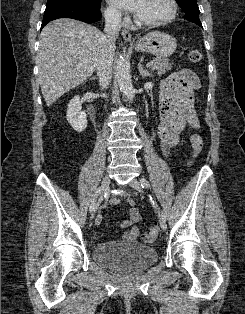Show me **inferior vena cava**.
Segmentation results:
<instances>
[{
    "mask_svg": "<svg viewBox=\"0 0 245 314\" xmlns=\"http://www.w3.org/2000/svg\"><path fill=\"white\" fill-rule=\"evenodd\" d=\"M105 36L100 52L97 75L101 89H106L112 79V66L115 52V42L121 28V12L109 10L105 13Z\"/></svg>",
    "mask_w": 245,
    "mask_h": 314,
    "instance_id": "602c4592",
    "label": "inferior vena cava"
}]
</instances>
